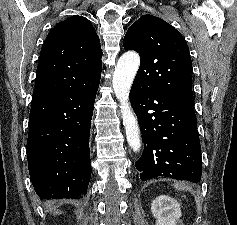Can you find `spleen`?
<instances>
[{"label":"spleen","instance_id":"3e777b00","mask_svg":"<svg viewBox=\"0 0 237 225\" xmlns=\"http://www.w3.org/2000/svg\"><path fill=\"white\" fill-rule=\"evenodd\" d=\"M173 186L178 190H188V187L184 186L182 183H174Z\"/></svg>","mask_w":237,"mask_h":225}]
</instances>
